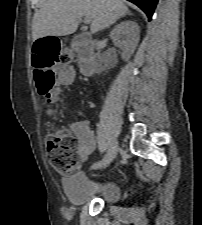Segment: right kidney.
<instances>
[{
    "label": "right kidney",
    "mask_w": 202,
    "mask_h": 225,
    "mask_svg": "<svg viewBox=\"0 0 202 225\" xmlns=\"http://www.w3.org/2000/svg\"><path fill=\"white\" fill-rule=\"evenodd\" d=\"M139 26L135 21H123L116 25L110 33L115 46L122 49V57L128 60L139 43Z\"/></svg>",
    "instance_id": "ca27d5eb"
}]
</instances>
